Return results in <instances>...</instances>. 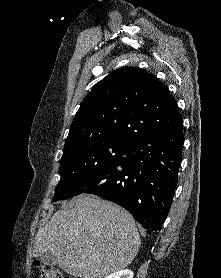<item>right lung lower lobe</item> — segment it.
<instances>
[{
    "instance_id": "right-lung-lower-lobe-1",
    "label": "right lung lower lobe",
    "mask_w": 221,
    "mask_h": 278,
    "mask_svg": "<svg viewBox=\"0 0 221 278\" xmlns=\"http://www.w3.org/2000/svg\"><path fill=\"white\" fill-rule=\"evenodd\" d=\"M183 144L182 122L135 137L121 158L73 196L98 195L127 209L144 228L161 230L178 181Z\"/></svg>"
}]
</instances>
